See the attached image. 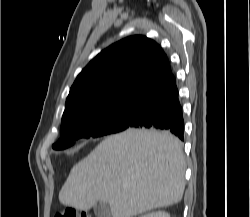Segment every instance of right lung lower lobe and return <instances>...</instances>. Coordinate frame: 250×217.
<instances>
[{"label":"right lung lower lobe","mask_w":250,"mask_h":217,"mask_svg":"<svg viewBox=\"0 0 250 217\" xmlns=\"http://www.w3.org/2000/svg\"><path fill=\"white\" fill-rule=\"evenodd\" d=\"M131 127L166 130L184 140L183 112L174 76L138 100Z\"/></svg>","instance_id":"98d812e1"}]
</instances>
